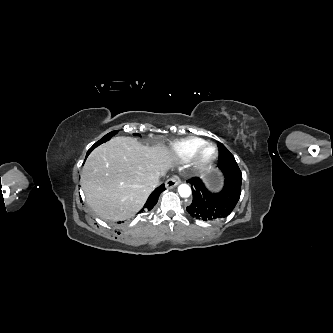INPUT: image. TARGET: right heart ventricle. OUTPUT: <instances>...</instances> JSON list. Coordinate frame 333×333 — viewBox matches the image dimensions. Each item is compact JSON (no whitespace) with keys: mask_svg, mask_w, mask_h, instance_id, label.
<instances>
[{"mask_svg":"<svg viewBox=\"0 0 333 333\" xmlns=\"http://www.w3.org/2000/svg\"><path fill=\"white\" fill-rule=\"evenodd\" d=\"M207 143L204 139L190 137L179 141L171 142L167 149L180 162H188L194 154Z\"/></svg>","mask_w":333,"mask_h":333,"instance_id":"obj_1","label":"right heart ventricle"}]
</instances>
